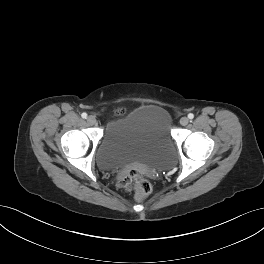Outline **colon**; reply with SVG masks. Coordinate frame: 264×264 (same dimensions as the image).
Wrapping results in <instances>:
<instances>
[{"instance_id": "5ec220e1", "label": "colon", "mask_w": 264, "mask_h": 264, "mask_svg": "<svg viewBox=\"0 0 264 264\" xmlns=\"http://www.w3.org/2000/svg\"><path fill=\"white\" fill-rule=\"evenodd\" d=\"M121 184L126 188L133 189L138 198L148 195L152 189L150 181L144 178L137 170H131L122 179Z\"/></svg>"}]
</instances>
